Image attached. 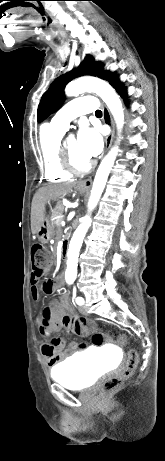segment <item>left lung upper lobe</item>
<instances>
[{"instance_id": "1", "label": "left lung upper lobe", "mask_w": 165, "mask_h": 461, "mask_svg": "<svg viewBox=\"0 0 165 461\" xmlns=\"http://www.w3.org/2000/svg\"><path fill=\"white\" fill-rule=\"evenodd\" d=\"M83 75L97 76L101 79L107 80L109 83H111L115 78V74H112L109 71H104L102 63L95 62L91 55H87L78 68L65 75L59 76L44 93L37 111V118L39 122L46 119L62 105L64 101V88L67 82H69L72 78Z\"/></svg>"}]
</instances>
